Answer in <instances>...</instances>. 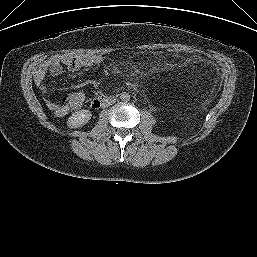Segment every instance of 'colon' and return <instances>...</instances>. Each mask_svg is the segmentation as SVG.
I'll use <instances>...</instances> for the list:
<instances>
[{"instance_id":"colon-1","label":"colon","mask_w":257,"mask_h":257,"mask_svg":"<svg viewBox=\"0 0 257 257\" xmlns=\"http://www.w3.org/2000/svg\"><path fill=\"white\" fill-rule=\"evenodd\" d=\"M171 53H179L180 50L170 48ZM84 102V96L81 93H70L63 97V104L71 110H78L82 107Z\"/></svg>"}]
</instances>
